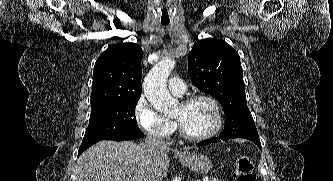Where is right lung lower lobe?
<instances>
[{"mask_svg": "<svg viewBox=\"0 0 333 181\" xmlns=\"http://www.w3.org/2000/svg\"><path fill=\"white\" fill-rule=\"evenodd\" d=\"M123 141V140H121ZM96 142L92 143V144H89V145H85V146H80L79 148V151H78V156L83 152L85 151L87 148H89L91 145L95 144Z\"/></svg>", "mask_w": 333, "mask_h": 181, "instance_id": "1", "label": "right lung lower lobe"}]
</instances>
